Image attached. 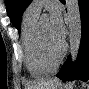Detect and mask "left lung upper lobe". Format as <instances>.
<instances>
[{"mask_svg": "<svg viewBox=\"0 0 89 89\" xmlns=\"http://www.w3.org/2000/svg\"><path fill=\"white\" fill-rule=\"evenodd\" d=\"M31 2L32 0H5L8 16L19 32L21 29L22 14Z\"/></svg>", "mask_w": 89, "mask_h": 89, "instance_id": "left-lung-upper-lobe-1", "label": "left lung upper lobe"}]
</instances>
